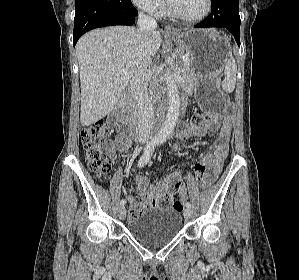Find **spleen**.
Segmentation results:
<instances>
[{"label":"spleen","instance_id":"3e777b00","mask_svg":"<svg viewBox=\"0 0 299 280\" xmlns=\"http://www.w3.org/2000/svg\"><path fill=\"white\" fill-rule=\"evenodd\" d=\"M236 73H237V65L236 61L233 57H230L228 62L225 65L224 74L225 78L222 81V89L227 92L231 93L235 89L236 84Z\"/></svg>","mask_w":299,"mask_h":280}]
</instances>
